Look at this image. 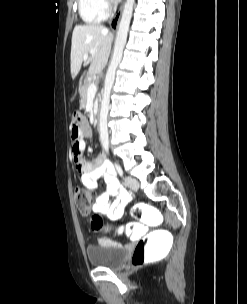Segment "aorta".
Segmentation results:
<instances>
[{"instance_id": "aorta-1", "label": "aorta", "mask_w": 247, "mask_h": 304, "mask_svg": "<svg viewBox=\"0 0 247 304\" xmlns=\"http://www.w3.org/2000/svg\"><path fill=\"white\" fill-rule=\"evenodd\" d=\"M134 3L135 0H126V3L124 5L119 28L116 35L113 56L110 65L108 67L105 77V82H104V92L102 96L101 110H100L99 133H100V141L102 147L105 150H108V146H109L107 117L109 112L110 94L115 81L116 70L121 62L123 50L127 41V35L132 17Z\"/></svg>"}]
</instances>
